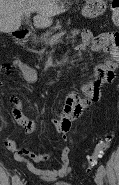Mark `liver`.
Here are the masks:
<instances>
[{"label":"liver","instance_id":"6515ba94","mask_svg":"<svg viewBox=\"0 0 119 185\" xmlns=\"http://www.w3.org/2000/svg\"><path fill=\"white\" fill-rule=\"evenodd\" d=\"M56 0H0V32H15L21 25L23 14L36 12L34 26L46 28L52 17L63 13Z\"/></svg>","mask_w":119,"mask_h":185}]
</instances>
